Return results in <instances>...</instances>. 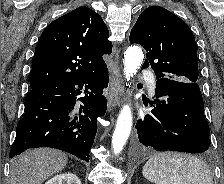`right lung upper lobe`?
<instances>
[{
  "label": "right lung upper lobe",
  "instance_id": "obj_1",
  "mask_svg": "<svg viewBox=\"0 0 224 184\" xmlns=\"http://www.w3.org/2000/svg\"><path fill=\"white\" fill-rule=\"evenodd\" d=\"M107 26L99 14L79 7L51 22L40 36L32 62L30 87L91 75L106 66L112 52Z\"/></svg>",
  "mask_w": 224,
  "mask_h": 184
}]
</instances>
